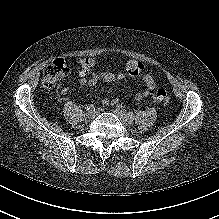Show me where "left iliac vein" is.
Returning <instances> with one entry per match:
<instances>
[{"mask_svg": "<svg viewBox=\"0 0 219 219\" xmlns=\"http://www.w3.org/2000/svg\"><path fill=\"white\" fill-rule=\"evenodd\" d=\"M113 112L122 121L124 125L126 126L132 125L133 123L132 118L128 114L122 112L118 106L114 109Z\"/></svg>", "mask_w": 219, "mask_h": 219, "instance_id": "left-iliac-vein-1", "label": "left iliac vein"}]
</instances>
